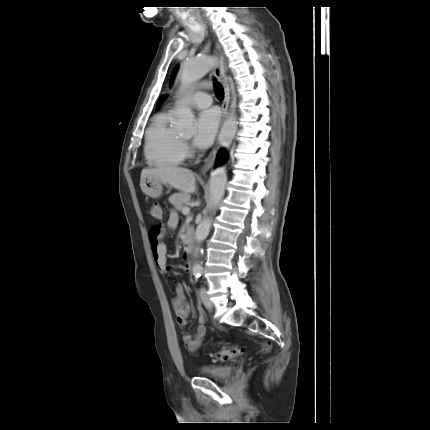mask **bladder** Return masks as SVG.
Masks as SVG:
<instances>
[{
  "label": "bladder",
  "mask_w": 430,
  "mask_h": 430,
  "mask_svg": "<svg viewBox=\"0 0 430 430\" xmlns=\"http://www.w3.org/2000/svg\"><path fill=\"white\" fill-rule=\"evenodd\" d=\"M233 367L226 365H207L200 369L203 376L215 379L226 380L233 374Z\"/></svg>",
  "instance_id": "1"
}]
</instances>
